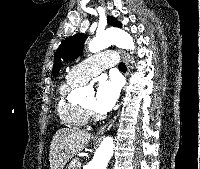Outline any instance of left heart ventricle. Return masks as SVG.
<instances>
[{
  "instance_id": "obj_1",
  "label": "left heart ventricle",
  "mask_w": 200,
  "mask_h": 169,
  "mask_svg": "<svg viewBox=\"0 0 200 169\" xmlns=\"http://www.w3.org/2000/svg\"><path fill=\"white\" fill-rule=\"evenodd\" d=\"M86 105L96 109L95 95L94 94H92L88 97V99L86 101Z\"/></svg>"
}]
</instances>
